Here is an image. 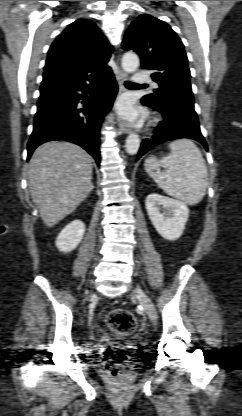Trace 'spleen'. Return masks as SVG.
I'll return each mask as SVG.
<instances>
[{
    "label": "spleen",
    "instance_id": "3e777b00",
    "mask_svg": "<svg viewBox=\"0 0 242 416\" xmlns=\"http://www.w3.org/2000/svg\"><path fill=\"white\" fill-rule=\"evenodd\" d=\"M171 153L161 160L147 158L145 170L168 195L189 205L199 203L206 192L208 173L198 147L190 140L180 139L168 144ZM162 166L165 172L158 168Z\"/></svg>",
    "mask_w": 242,
    "mask_h": 416
}]
</instances>
